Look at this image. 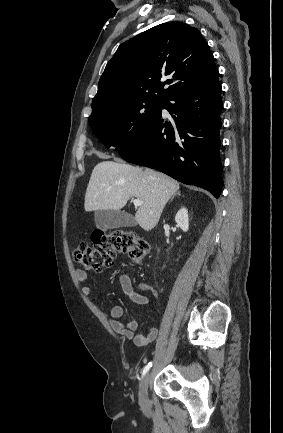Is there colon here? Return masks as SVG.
I'll return each instance as SVG.
<instances>
[{"mask_svg":"<svg viewBox=\"0 0 283 433\" xmlns=\"http://www.w3.org/2000/svg\"><path fill=\"white\" fill-rule=\"evenodd\" d=\"M93 245L81 241L72 255L84 269L102 271L113 264L117 254H127L133 261H141L149 252V243L135 232L116 229L92 237Z\"/></svg>","mask_w":283,"mask_h":433,"instance_id":"obj_1","label":"colon"}]
</instances>
